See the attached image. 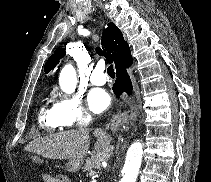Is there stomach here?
Returning a JSON list of instances; mask_svg holds the SVG:
<instances>
[{
    "instance_id": "stomach-1",
    "label": "stomach",
    "mask_w": 211,
    "mask_h": 182,
    "mask_svg": "<svg viewBox=\"0 0 211 182\" xmlns=\"http://www.w3.org/2000/svg\"><path fill=\"white\" fill-rule=\"evenodd\" d=\"M81 167V160L73 159L69 160L66 164V169L68 172L75 173L77 172Z\"/></svg>"
}]
</instances>
